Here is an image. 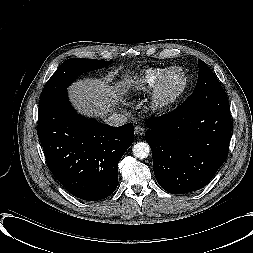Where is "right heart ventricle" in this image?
<instances>
[{"label":"right heart ventricle","instance_id":"e07e8e85","mask_svg":"<svg viewBox=\"0 0 253 253\" xmlns=\"http://www.w3.org/2000/svg\"><path fill=\"white\" fill-rule=\"evenodd\" d=\"M167 69L168 67L149 68L144 70L131 80L129 84L130 93L134 96H139L149 92L153 88L160 75Z\"/></svg>","mask_w":253,"mask_h":253}]
</instances>
